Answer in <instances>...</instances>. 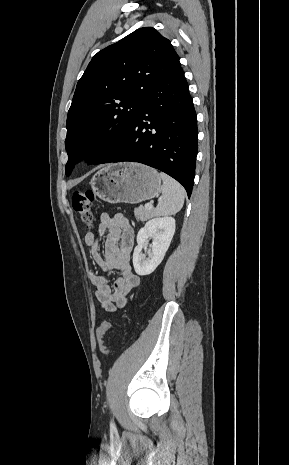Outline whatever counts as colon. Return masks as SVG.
<instances>
[{
	"instance_id": "obj_1",
	"label": "colon",
	"mask_w": 289,
	"mask_h": 465,
	"mask_svg": "<svg viewBox=\"0 0 289 465\" xmlns=\"http://www.w3.org/2000/svg\"><path fill=\"white\" fill-rule=\"evenodd\" d=\"M95 201V195L92 190H80L75 191L72 194V207L80 221L86 225L91 226L94 221L93 205ZM112 329V325L104 321L97 329V341L99 349L104 355L109 354L108 348L105 346L103 337L105 333Z\"/></svg>"
}]
</instances>
